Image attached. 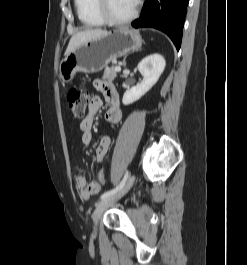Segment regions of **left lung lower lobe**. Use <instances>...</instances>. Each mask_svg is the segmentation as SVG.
Listing matches in <instances>:
<instances>
[{
	"instance_id": "left-lung-lower-lobe-1",
	"label": "left lung lower lobe",
	"mask_w": 247,
	"mask_h": 265,
	"mask_svg": "<svg viewBox=\"0 0 247 265\" xmlns=\"http://www.w3.org/2000/svg\"><path fill=\"white\" fill-rule=\"evenodd\" d=\"M188 2L189 0H146L140 18L132 26L151 27L164 32L179 50Z\"/></svg>"
}]
</instances>
